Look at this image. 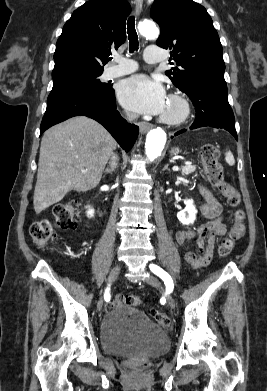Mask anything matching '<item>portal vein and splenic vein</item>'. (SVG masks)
Wrapping results in <instances>:
<instances>
[{"instance_id":"obj_1","label":"portal vein and splenic vein","mask_w":267,"mask_h":391,"mask_svg":"<svg viewBox=\"0 0 267 391\" xmlns=\"http://www.w3.org/2000/svg\"><path fill=\"white\" fill-rule=\"evenodd\" d=\"M185 164H186V165H188V164H191V163H189V162H186ZM82 172H83V173H85V172H86V170H82Z\"/></svg>"}]
</instances>
